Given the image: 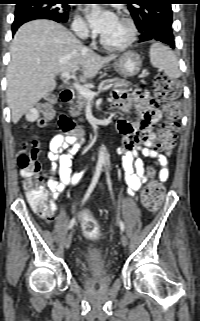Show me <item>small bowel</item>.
<instances>
[{
  "label": "small bowel",
  "mask_w": 200,
  "mask_h": 321,
  "mask_svg": "<svg viewBox=\"0 0 200 321\" xmlns=\"http://www.w3.org/2000/svg\"><path fill=\"white\" fill-rule=\"evenodd\" d=\"M112 107L124 113L116 121L118 132L123 136L121 147L125 181L131 194L140 190L147 181L143 158L150 159L159 168V178L166 181L169 176L168 158L156 151L154 128L163 116L159 102L144 91L128 94L125 90L112 92ZM134 119H129L131 115ZM81 138L75 133L58 134L49 144L47 158L51 167L47 174L49 207L52 222L56 201L76 178L72 173V158L79 150Z\"/></svg>",
  "instance_id": "1"
}]
</instances>
